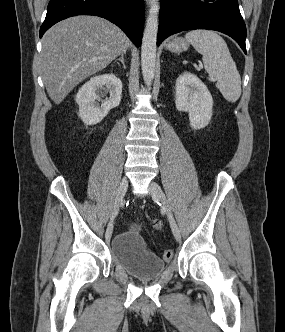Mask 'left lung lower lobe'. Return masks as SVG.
<instances>
[{"label":"left lung lower lobe","mask_w":285,"mask_h":332,"mask_svg":"<svg viewBox=\"0 0 285 332\" xmlns=\"http://www.w3.org/2000/svg\"><path fill=\"white\" fill-rule=\"evenodd\" d=\"M157 45L171 34L194 29L220 31L246 53V26L237 0H161Z\"/></svg>","instance_id":"obj_1"}]
</instances>
